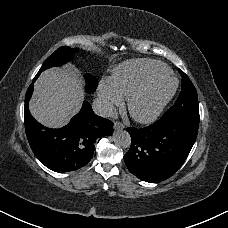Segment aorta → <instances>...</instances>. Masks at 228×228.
I'll return each instance as SVG.
<instances>
[{
  "label": "aorta",
  "instance_id": "762f6f07",
  "mask_svg": "<svg viewBox=\"0 0 228 228\" xmlns=\"http://www.w3.org/2000/svg\"><path fill=\"white\" fill-rule=\"evenodd\" d=\"M113 141L121 148H128L131 145V137L125 130H119L114 133Z\"/></svg>",
  "mask_w": 228,
  "mask_h": 228
}]
</instances>
